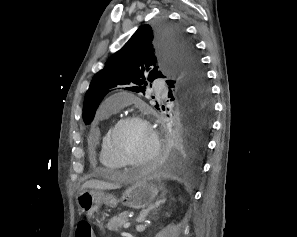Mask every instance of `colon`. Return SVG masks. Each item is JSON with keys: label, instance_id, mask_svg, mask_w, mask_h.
Returning a JSON list of instances; mask_svg holds the SVG:
<instances>
[{"label": "colon", "instance_id": "1", "mask_svg": "<svg viewBox=\"0 0 297 237\" xmlns=\"http://www.w3.org/2000/svg\"><path fill=\"white\" fill-rule=\"evenodd\" d=\"M75 237H94L91 226L87 221L78 222Z\"/></svg>", "mask_w": 297, "mask_h": 237}]
</instances>
